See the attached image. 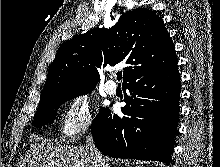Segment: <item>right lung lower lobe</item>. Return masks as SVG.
<instances>
[{
  "label": "right lung lower lobe",
  "mask_w": 220,
  "mask_h": 167,
  "mask_svg": "<svg viewBox=\"0 0 220 167\" xmlns=\"http://www.w3.org/2000/svg\"><path fill=\"white\" fill-rule=\"evenodd\" d=\"M130 95L122 115L103 108L91 125L95 145L114 158L157 160L170 164L179 119L180 74L173 64L123 82Z\"/></svg>",
  "instance_id": "98d812e1"
}]
</instances>
